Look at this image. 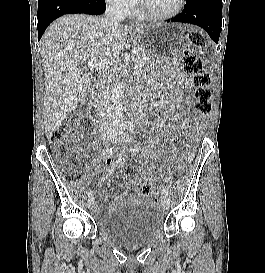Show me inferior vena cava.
I'll return each instance as SVG.
<instances>
[{
  "instance_id": "inferior-vena-cava-1",
  "label": "inferior vena cava",
  "mask_w": 265,
  "mask_h": 273,
  "mask_svg": "<svg viewBox=\"0 0 265 273\" xmlns=\"http://www.w3.org/2000/svg\"><path fill=\"white\" fill-rule=\"evenodd\" d=\"M125 19L124 6L117 2L111 1L105 11V17L101 19V25L108 34H112L119 26V23ZM112 74H108V80H111ZM110 84L105 81L102 86L101 99L98 107L99 128L103 136L113 134L116 131L111 104H110Z\"/></svg>"
}]
</instances>
